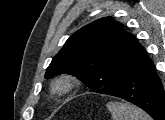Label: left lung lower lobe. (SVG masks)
Listing matches in <instances>:
<instances>
[{
  "mask_svg": "<svg viewBox=\"0 0 165 120\" xmlns=\"http://www.w3.org/2000/svg\"><path fill=\"white\" fill-rule=\"evenodd\" d=\"M108 95L137 105L154 120H165V93L162 82L154 63L141 45L134 53L121 84Z\"/></svg>",
  "mask_w": 165,
  "mask_h": 120,
  "instance_id": "obj_1",
  "label": "left lung lower lobe"
}]
</instances>
